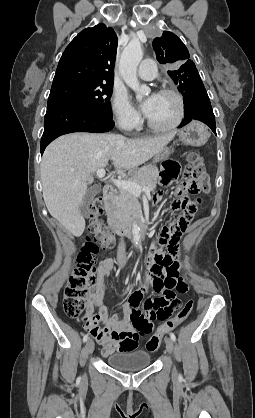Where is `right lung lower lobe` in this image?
<instances>
[{
    "label": "right lung lower lobe",
    "mask_w": 255,
    "mask_h": 418,
    "mask_svg": "<svg viewBox=\"0 0 255 418\" xmlns=\"http://www.w3.org/2000/svg\"><path fill=\"white\" fill-rule=\"evenodd\" d=\"M114 122L94 114L92 111L71 104L47 106L44 118V133L41 138V154L55 138L72 132H108Z\"/></svg>",
    "instance_id": "right-lung-lower-lobe-1"
}]
</instances>
